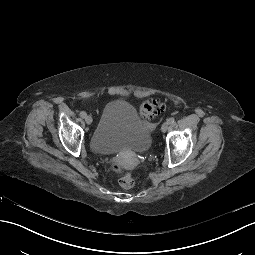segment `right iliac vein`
I'll return each instance as SVG.
<instances>
[{"label":"right iliac vein","mask_w":255,"mask_h":255,"mask_svg":"<svg viewBox=\"0 0 255 255\" xmlns=\"http://www.w3.org/2000/svg\"><path fill=\"white\" fill-rule=\"evenodd\" d=\"M85 122L88 124V125H90L91 123H92V117L91 116H86L85 117Z\"/></svg>","instance_id":"right-iliac-vein-1"}]
</instances>
